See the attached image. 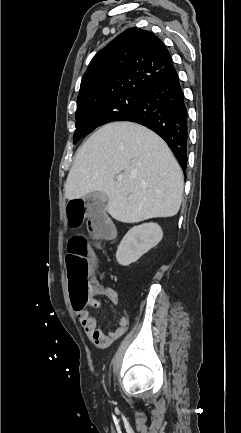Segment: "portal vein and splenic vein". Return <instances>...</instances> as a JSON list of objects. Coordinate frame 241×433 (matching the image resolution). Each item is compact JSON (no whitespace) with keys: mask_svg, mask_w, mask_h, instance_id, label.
Here are the masks:
<instances>
[{"mask_svg":"<svg viewBox=\"0 0 241 433\" xmlns=\"http://www.w3.org/2000/svg\"><path fill=\"white\" fill-rule=\"evenodd\" d=\"M117 180H118V181H121V180H122V176H118V177H117Z\"/></svg>","mask_w":241,"mask_h":433,"instance_id":"portal-vein-and-splenic-vein-1","label":"portal vein and splenic vein"}]
</instances>
